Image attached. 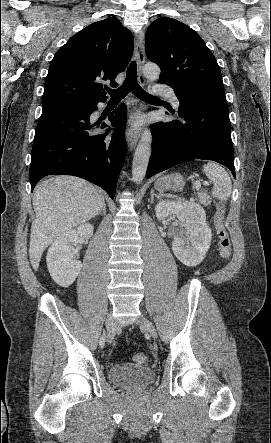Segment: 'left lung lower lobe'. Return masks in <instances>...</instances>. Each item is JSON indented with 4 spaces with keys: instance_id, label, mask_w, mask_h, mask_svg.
Listing matches in <instances>:
<instances>
[{
    "instance_id": "1",
    "label": "left lung lower lobe",
    "mask_w": 271,
    "mask_h": 443,
    "mask_svg": "<svg viewBox=\"0 0 271 443\" xmlns=\"http://www.w3.org/2000/svg\"><path fill=\"white\" fill-rule=\"evenodd\" d=\"M158 82L174 88L180 101L177 115L182 121L152 125L153 148L146 178L196 159L221 163L236 177L225 94L194 85L172 84L165 77Z\"/></svg>"
}]
</instances>
